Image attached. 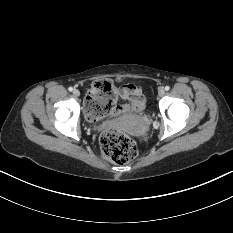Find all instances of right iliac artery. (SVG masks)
Returning <instances> with one entry per match:
<instances>
[{"instance_id":"82829eb1","label":"right iliac artery","mask_w":233,"mask_h":233,"mask_svg":"<svg viewBox=\"0 0 233 233\" xmlns=\"http://www.w3.org/2000/svg\"><path fill=\"white\" fill-rule=\"evenodd\" d=\"M68 90H69L70 92H72V91H73V88H72V87H69Z\"/></svg>"}]
</instances>
